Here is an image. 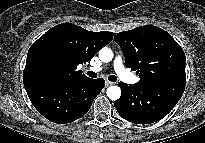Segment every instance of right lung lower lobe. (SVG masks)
Masks as SVG:
<instances>
[{
    "instance_id": "obj_1",
    "label": "right lung lower lobe",
    "mask_w": 205,
    "mask_h": 143,
    "mask_svg": "<svg viewBox=\"0 0 205 143\" xmlns=\"http://www.w3.org/2000/svg\"><path fill=\"white\" fill-rule=\"evenodd\" d=\"M33 106L48 120L66 124L84 116L105 86L102 78L68 80L35 74L23 78Z\"/></svg>"
}]
</instances>
